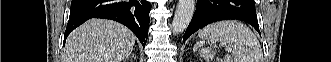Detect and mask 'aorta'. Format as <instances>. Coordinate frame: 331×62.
I'll use <instances>...</instances> for the list:
<instances>
[{"mask_svg":"<svg viewBox=\"0 0 331 62\" xmlns=\"http://www.w3.org/2000/svg\"><path fill=\"white\" fill-rule=\"evenodd\" d=\"M195 11V0H179L172 22L174 34L183 33L191 22Z\"/></svg>","mask_w":331,"mask_h":62,"instance_id":"1","label":"aorta"}]
</instances>
